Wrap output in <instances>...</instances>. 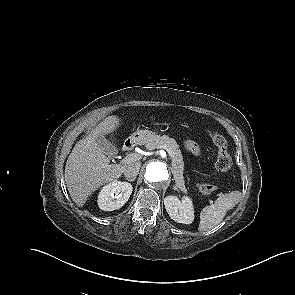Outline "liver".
I'll use <instances>...</instances> for the list:
<instances>
[{
  "label": "liver",
  "instance_id": "1",
  "mask_svg": "<svg viewBox=\"0 0 295 295\" xmlns=\"http://www.w3.org/2000/svg\"><path fill=\"white\" fill-rule=\"evenodd\" d=\"M119 125L117 116L108 117L70 153L65 166V182L77 206L83 207L92 192L121 177L126 165L110 164L107 154L97 143L98 137L113 133Z\"/></svg>",
  "mask_w": 295,
  "mask_h": 295
}]
</instances>
